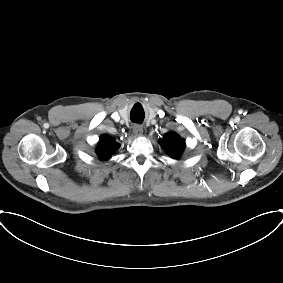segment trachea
I'll use <instances>...</instances> for the list:
<instances>
[{"label":"trachea","mask_w":283,"mask_h":283,"mask_svg":"<svg viewBox=\"0 0 283 283\" xmlns=\"http://www.w3.org/2000/svg\"><path fill=\"white\" fill-rule=\"evenodd\" d=\"M131 120L133 121V122H136V123H141L142 121H143V117L142 116H131Z\"/></svg>","instance_id":"3493384b"}]
</instances>
